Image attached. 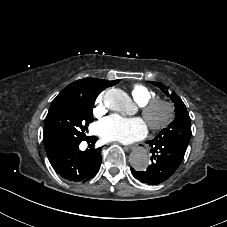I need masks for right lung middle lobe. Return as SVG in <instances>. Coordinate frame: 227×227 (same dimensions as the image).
<instances>
[{"label":"right lung middle lobe","instance_id":"obj_1","mask_svg":"<svg viewBox=\"0 0 227 227\" xmlns=\"http://www.w3.org/2000/svg\"><path fill=\"white\" fill-rule=\"evenodd\" d=\"M98 94L57 96L44 121L43 143L50 152L64 144L83 141L93 121V106Z\"/></svg>","mask_w":227,"mask_h":227}]
</instances>
